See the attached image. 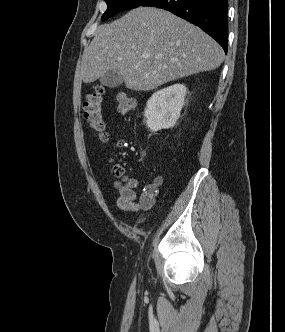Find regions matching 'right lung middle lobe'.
I'll use <instances>...</instances> for the list:
<instances>
[{
	"label": "right lung middle lobe",
	"mask_w": 285,
	"mask_h": 332,
	"mask_svg": "<svg viewBox=\"0 0 285 332\" xmlns=\"http://www.w3.org/2000/svg\"><path fill=\"white\" fill-rule=\"evenodd\" d=\"M108 8L106 12L102 16V21L108 19L109 17L115 15L116 13L132 9L140 6L143 4L146 0H105Z\"/></svg>",
	"instance_id": "right-lung-middle-lobe-1"
}]
</instances>
